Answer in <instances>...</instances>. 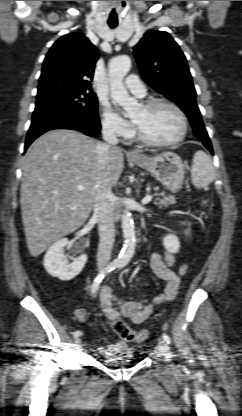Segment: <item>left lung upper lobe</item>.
I'll list each match as a JSON object with an SVG mask.
<instances>
[{
  "mask_svg": "<svg viewBox=\"0 0 242 416\" xmlns=\"http://www.w3.org/2000/svg\"><path fill=\"white\" fill-rule=\"evenodd\" d=\"M134 55L145 82L186 113L197 138L209 140L185 55L174 39L164 31L147 32L134 46Z\"/></svg>",
  "mask_w": 242,
  "mask_h": 416,
  "instance_id": "5c2ea615",
  "label": "left lung upper lobe"
}]
</instances>
